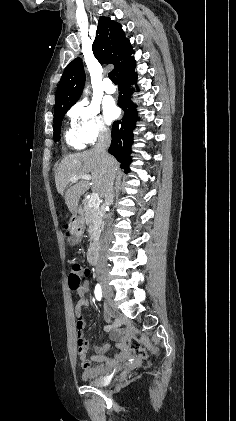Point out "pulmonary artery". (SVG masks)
Masks as SVG:
<instances>
[{"mask_svg":"<svg viewBox=\"0 0 236 421\" xmlns=\"http://www.w3.org/2000/svg\"><path fill=\"white\" fill-rule=\"evenodd\" d=\"M103 89L107 94H114L116 92V86L110 82L105 83Z\"/></svg>","mask_w":236,"mask_h":421,"instance_id":"pulmonary-artery-1","label":"pulmonary artery"}]
</instances>
